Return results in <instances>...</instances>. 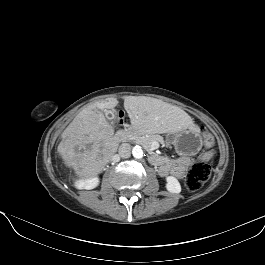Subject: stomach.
<instances>
[{
  "label": "stomach",
  "instance_id": "stomach-1",
  "mask_svg": "<svg viewBox=\"0 0 265 265\" xmlns=\"http://www.w3.org/2000/svg\"><path fill=\"white\" fill-rule=\"evenodd\" d=\"M166 140L172 144L180 155H196L202 146L200 135L192 129H185L179 132H168Z\"/></svg>",
  "mask_w": 265,
  "mask_h": 265
}]
</instances>
